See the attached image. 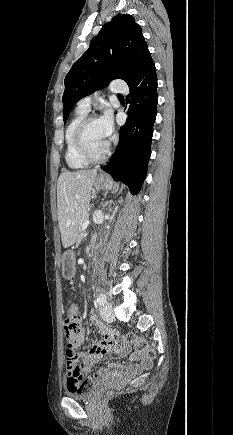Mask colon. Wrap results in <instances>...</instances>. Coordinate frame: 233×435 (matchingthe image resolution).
<instances>
[{
	"label": "colon",
	"mask_w": 233,
	"mask_h": 435,
	"mask_svg": "<svg viewBox=\"0 0 233 435\" xmlns=\"http://www.w3.org/2000/svg\"><path fill=\"white\" fill-rule=\"evenodd\" d=\"M68 317L65 322L64 332L66 343L64 347V355L67 366L75 370H80L78 365V360L76 356V339L80 329L81 317L78 312L71 306L67 307ZM119 337L117 333L112 330L107 331V337L104 341V347L106 350L111 351L114 349ZM123 343L132 345L138 353L142 354L148 359H153L155 357V352L152 347L149 346L147 341L135 334H126L121 337ZM147 376L145 374H139L134 378L135 385H141L146 382ZM93 384L92 380L86 379L81 380L78 376L75 380L68 386V389L73 392H84L90 388ZM114 393L113 390L106 392V396L110 397Z\"/></svg>",
	"instance_id": "1"
}]
</instances>
